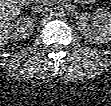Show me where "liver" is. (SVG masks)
<instances>
[{
  "label": "liver",
  "mask_w": 111,
  "mask_h": 106,
  "mask_svg": "<svg viewBox=\"0 0 111 106\" xmlns=\"http://www.w3.org/2000/svg\"><path fill=\"white\" fill-rule=\"evenodd\" d=\"M23 0H1L0 1V45L4 47L7 44L8 33L11 30L10 22L19 14Z\"/></svg>",
  "instance_id": "6515ba94"
}]
</instances>
